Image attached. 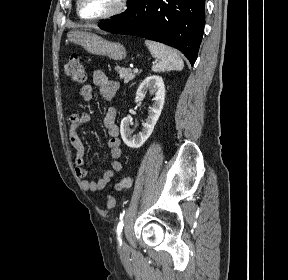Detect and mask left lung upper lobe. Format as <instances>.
Segmentation results:
<instances>
[{
  "label": "left lung upper lobe",
  "mask_w": 288,
  "mask_h": 280,
  "mask_svg": "<svg viewBox=\"0 0 288 280\" xmlns=\"http://www.w3.org/2000/svg\"><path fill=\"white\" fill-rule=\"evenodd\" d=\"M135 1H136V0H129V1L127 2V6L129 7V6L132 5Z\"/></svg>",
  "instance_id": "1"
}]
</instances>
